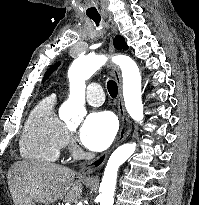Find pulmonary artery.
<instances>
[{
    "label": "pulmonary artery",
    "instance_id": "obj_1",
    "mask_svg": "<svg viewBox=\"0 0 199 205\" xmlns=\"http://www.w3.org/2000/svg\"><path fill=\"white\" fill-rule=\"evenodd\" d=\"M105 96L102 86L98 83H91L87 87L86 101L92 106L102 105Z\"/></svg>",
    "mask_w": 199,
    "mask_h": 205
}]
</instances>
